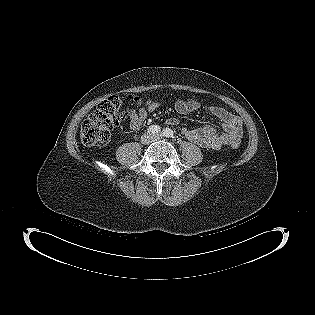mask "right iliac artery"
<instances>
[{
    "label": "right iliac artery",
    "instance_id": "right-iliac-artery-1",
    "mask_svg": "<svg viewBox=\"0 0 315 315\" xmlns=\"http://www.w3.org/2000/svg\"><path fill=\"white\" fill-rule=\"evenodd\" d=\"M147 131H148V133L154 135V134H158L161 131V128L157 125H151V126H149Z\"/></svg>",
    "mask_w": 315,
    "mask_h": 315
}]
</instances>
